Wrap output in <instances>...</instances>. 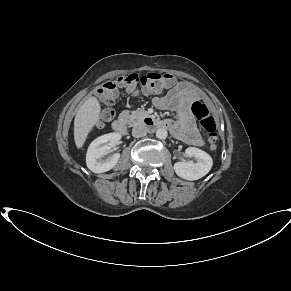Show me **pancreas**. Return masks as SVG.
<instances>
[{"instance_id":"cf45deb5","label":"pancreas","mask_w":291,"mask_h":291,"mask_svg":"<svg viewBox=\"0 0 291 291\" xmlns=\"http://www.w3.org/2000/svg\"><path fill=\"white\" fill-rule=\"evenodd\" d=\"M122 115L128 119V124L130 126H137L142 121L149 116L148 112L143 109H137L135 111H123Z\"/></svg>"}]
</instances>
